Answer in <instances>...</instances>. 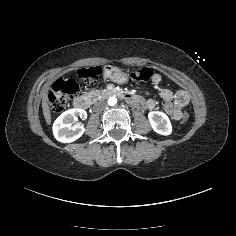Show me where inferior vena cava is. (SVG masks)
<instances>
[{
    "instance_id": "inferior-vena-cava-1",
    "label": "inferior vena cava",
    "mask_w": 236,
    "mask_h": 236,
    "mask_svg": "<svg viewBox=\"0 0 236 236\" xmlns=\"http://www.w3.org/2000/svg\"><path fill=\"white\" fill-rule=\"evenodd\" d=\"M106 108V103L104 101L96 102L93 106V110L96 112H101Z\"/></svg>"
}]
</instances>
